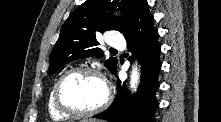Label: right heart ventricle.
Here are the masks:
<instances>
[{
    "label": "right heart ventricle",
    "instance_id": "e07e8e85",
    "mask_svg": "<svg viewBox=\"0 0 221 122\" xmlns=\"http://www.w3.org/2000/svg\"><path fill=\"white\" fill-rule=\"evenodd\" d=\"M54 86H55V84L52 86V88L49 92V95H48L47 108H48L49 115L53 120L61 121V120L67 119L69 117V115L60 112L56 108V106L54 104V100H53Z\"/></svg>",
    "mask_w": 221,
    "mask_h": 122
}]
</instances>
